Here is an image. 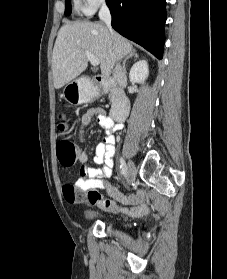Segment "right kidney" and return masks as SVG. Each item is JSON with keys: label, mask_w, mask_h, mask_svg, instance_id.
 Wrapping results in <instances>:
<instances>
[{"label": "right kidney", "mask_w": 227, "mask_h": 279, "mask_svg": "<svg viewBox=\"0 0 227 279\" xmlns=\"http://www.w3.org/2000/svg\"><path fill=\"white\" fill-rule=\"evenodd\" d=\"M148 64L145 60L136 62L130 69L129 79L134 83H143L148 77Z\"/></svg>", "instance_id": "ca27d5eb"}]
</instances>
